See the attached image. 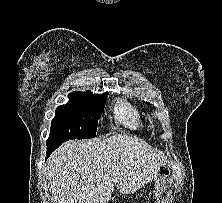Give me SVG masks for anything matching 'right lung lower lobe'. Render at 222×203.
<instances>
[{
  "mask_svg": "<svg viewBox=\"0 0 222 203\" xmlns=\"http://www.w3.org/2000/svg\"><path fill=\"white\" fill-rule=\"evenodd\" d=\"M59 144H47V153L46 158L49 157V155L59 147Z\"/></svg>",
  "mask_w": 222,
  "mask_h": 203,
  "instance_id": "1",
  "label": "right lung lower lobe"
}]
</instances>
